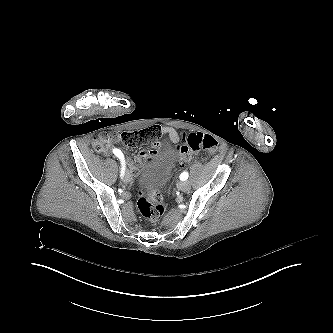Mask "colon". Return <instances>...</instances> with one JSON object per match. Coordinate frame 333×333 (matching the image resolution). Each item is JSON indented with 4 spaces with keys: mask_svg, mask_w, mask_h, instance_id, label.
<instances>
[{
    "mask_svg": "<svg viewBox=\"0 0 333 333\" xmlns=\"http://www.w3.org/2000/svg\"><path fill=\"white\" fill-rule=\"evenodd\" d=\"M159 137V130L157 127H149L145 132H125L120 136L122 143L131 149L145 148L155 146L158 141L154 142ZM117 134L109 132L108 130H101L99 135L94 138V149L99 152L102 143H115L117 141ZM210 139L203 137L195 138L192 144L201 143L206 149L210 148ZM188 156L187 151L176 149V158L184 160ZM158 158H164L165 152L158 151ZM148 164H154L157 160L148 156L146 159ZM163 185L159 183L142 185L138 191L139 198L137 200V209L142 217L143 226L150 231L158 230L163 223L162 215L165 212V207L162 204L163 200Z\"/></svg>",
    "mask_w": 333,
    "mask_h": 333,
    "instance_id": "1",
    "label": "colon"
}]
</instances>
